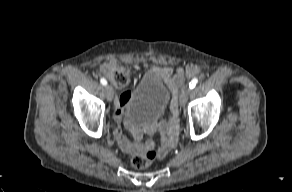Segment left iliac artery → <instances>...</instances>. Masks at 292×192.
Masks as SVG:
<instances>
[{"instance_id": "left-iliac-artery-1", "label": "left iliac artery", "mask_w": 292, "mask_h": 192, "mask_svg": "<svg viewBox=\"0 0 292 192\" xmlns=\"http://www.w3.org/2000/svg\"><path fill=\"white\" fill-rule=\"evenodd\" d=\"M197 83H198V79H197V78H193V79L190 81V83H189V88H190V89H193V88L196 86Z\"/></svg>"}]
</instances>
